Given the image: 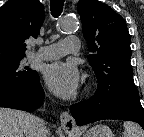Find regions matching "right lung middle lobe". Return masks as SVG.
<instances>
[{
    "label": "right lung middle lobe",
    "instance_id": "dd1d6c3e",
    "mask_svg": "<svg viewBox=\"0 0 144 137\" xmlns=\"http://www.w3.org/2000/svg\"><path fill=\"white\" fill-rule=\"evenodd\" d=\"M21 59L0 66V87H16L32 90L39 82L37 71L23 66Z\"/></svg>",
    "mask_w": 144,
    "mask_h": 137
}]
</instances>
